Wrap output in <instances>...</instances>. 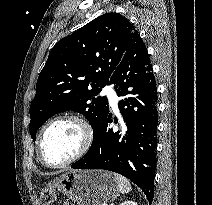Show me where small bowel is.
I'll return each mask as SVG.
<instances>
[{
    "label": "small bowel",
    "mask_w": 212,
    "mask_h": 205,
    "mask_svg": "<svg viewBox=\"0 0 212 205\" xmlns=\"http://www.w3.org/2000/svg\"><path fill=\"white\" fill-rule=\"evenodd\" d=\"M63 205H74V204H71V203H64Z\"/></svg>",
    "instance_id": "c3829d8e"
}]
</instances>
